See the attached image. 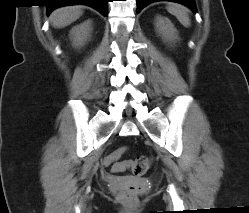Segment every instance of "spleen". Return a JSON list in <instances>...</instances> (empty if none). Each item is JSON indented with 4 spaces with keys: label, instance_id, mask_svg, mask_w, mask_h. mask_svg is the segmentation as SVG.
I'll return each mask as SVG.
<instances>
[{
    "label": "spleen",
    "instance_id": "1",
    "mask_svg": "<svg viewBox=\"0 0 249 213\" xmlns=\"http://www.w3.org/2000/svg\"><path fill=\"white\" fill-rule=\"evenodd\" d=\"M167 10L172 15L176 16V18L180 21V23L185 26H190V18L188 16V10L183 5L177 4V3H171Z\"/></svg>",
    "mask_w": 249,
    "mask_h": 213
}]
</instances>
